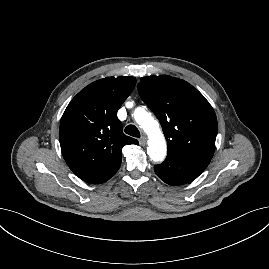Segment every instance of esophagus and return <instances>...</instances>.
Segmentation results:
<instances>
[{"mask_svg":"<svg viewBox=\"0 0 269 269\" xmlns=\"http://www.w3.org/2000/svg\"><path fill=\"white\" fill-rule=\"evenodd\" d=\"M146 137L145 136H142L140 139H139V143L140 145L142 146H145L146 145Z\"/></svg>","mask_w":269,"mask_h":269,"instance_id":"34e87169","label":"esophagus"}]
</instances>
